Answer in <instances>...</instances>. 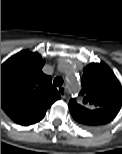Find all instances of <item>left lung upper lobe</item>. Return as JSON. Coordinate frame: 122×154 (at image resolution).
Wrapping results in <instances>:
<instances>
[{
	"label": "left lung upper lobe",
	"mask_w": 122,
	"mask_h": 154,
	"mask_svg": "<svg viewBox=\"0 0 122 154\" xmlns=\"http://www.w3.org/2000/svg\"><path fill=\"white\" fill-rule=\"evenodd\" d=\"M81 86L83 101L77 102L75 98L69 101L71 114L81 125L89 126L87 119L100 117L102 109H120L122 87L105 63L87 65Z\"/></svg>",
	"instance_id": "obj_1"
}]
</instances>
